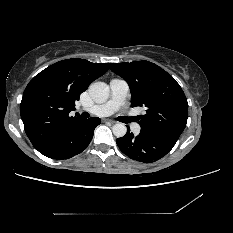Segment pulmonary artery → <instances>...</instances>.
Segmentation results:
<instances>
[{
  "mask_svg": "<svg viewBox=\"0 0 233 233\" xmlns=\"http://www.w3.org/2000/svg\"><path fill=\"white\" fill-rule=\"evenodd\" d=\"M109 87L110 97L107 101L85 110L95 116H108L117 111L129 92V86L125 80L113 78L110 80ZM79 110H84V108H80ZM130 124L132 130L138 134L141 129L140 124L133 120L130 121Z\"/></svg>",
  "mask_w": 233,
  "mask_h": 233,
  "instance_id": "obj_1",
  "label": "pulmonary artery"
}]
</instances>
